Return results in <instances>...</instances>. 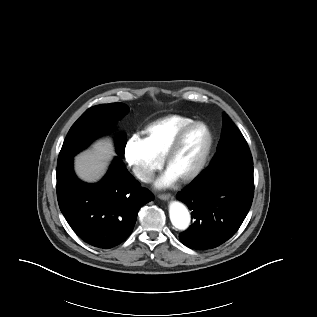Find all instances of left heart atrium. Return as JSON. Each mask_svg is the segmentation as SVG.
Returning a JSON list of instances; mask_svg holds the SVG:
<instances>
[{"instance_id": "left-heart-atrium-1", "label": "left heart atrium", "mask_w": 317, "mask_h": 317, "mask_svg": "<svg viewBox=\"0 0 317 317\" xmlns=\"http://www.w3.org/2000/svg\"><path fill=\"white\" fill-rule=\"evenodd\" d=\"M177 179V177L171 172L167 171L158 181V186H167L174 182Z\"/></svg>"}]
</instances>
